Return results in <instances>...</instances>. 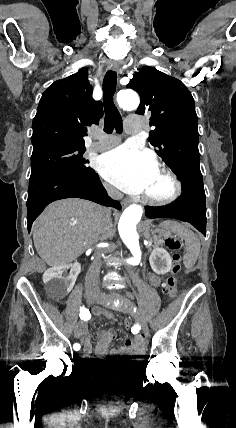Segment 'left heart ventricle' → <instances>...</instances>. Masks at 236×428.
<instances>
[{
  "label": "left heart ventricle",
  "instance_id": "obj_1",
  "mask_svg": "<svg viewBox=\"0 0 236 428\" xmlns=\"http://www.w3.org/2000/svg\"><path fill=\"white\" fill-rule=\"evenodd\" d=\"M172 190V185L161 170L154 171L148 180L143 194L157 198L167 196Z\"/></svg>",
  "mask_w": 236,
  "mask_h": 428
}]
</instances>
